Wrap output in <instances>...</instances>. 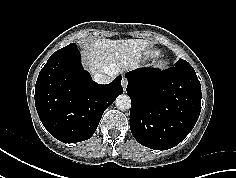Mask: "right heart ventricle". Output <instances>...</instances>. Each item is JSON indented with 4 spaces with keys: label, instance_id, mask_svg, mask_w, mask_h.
Segmentation results:
<instances>
[{
    "label": "right heart ventricle",
    "instance_id": "obj_1",
    "mask_svg": "<svg viewBox=\"0 0 236 178\" xmlns=\"http://www.w3.org/2000/svg\"><path fill=\"white\" fill-rule=\"evenodd\" d=\"M148 55H149L150 57H156V56L159 55V51H157V50H151V51L148 52Z\"/></svg>",
    "mask_w": 236,
    "mask_h": 178
}]
</instances>
